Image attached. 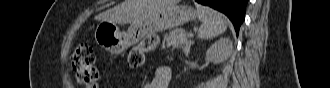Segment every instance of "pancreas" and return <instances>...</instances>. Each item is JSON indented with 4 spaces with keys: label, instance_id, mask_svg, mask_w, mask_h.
<instances>
[{
    "label": "pancreas",
    "instance_id": "1",
    "mask_svg": "<svg viewBox=\"0 0 330 88\" xmlns=\"http://www.w3.org/2000/svg\"><path fill=\"white\" fill-rule=\"evenodd\" d=\"M188 42L187 32L183 28L175 29L170 31L168 34L164 35V40L162 42V48L173 47V48H183Z\"/></svg>",
    "mask_w": 330,
    "mask_h": 88
}]
</instances>
